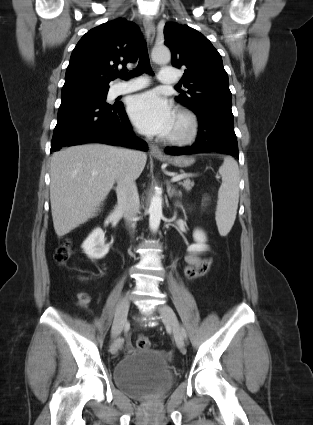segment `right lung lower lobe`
Returning a JSON list of instances; mask_svg holds the SVG:
<instances>
[{"instance_id":"98d812e1","label":"right lung lower lobe","mask_w":313,"mask_h":425,"mask_svg":"<svg viewBox=\"0 0 313 425\" xmlns=\"http://www.w3.org/2000/svg\"><path fill=\"white\" fill-rule=\"evenodd\" d=\"M90 142L148 149L134 136L122 103L108 104L84 90L62 91L50 152Z\"/></svg>"}]
</instances>
